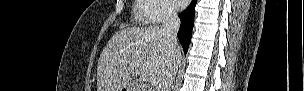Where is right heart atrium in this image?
I'll list each match as a JSON object with an SVG mask.
<instances>
[{
  "instance_id": "right-heart-atrium-1",
  "label": "right heart atrium",
  "mask_w": 304,
  "mask_h": 91,
  "mask_svg": "<svg viewBox=\"0 0 304 91\" xmlns=\"http://www.w3.org/2000/svg\"><path fill=\"white\" fill-rule=\"evenodd\" d=\"M142 18L151 23H160L176 15V10L167 0H142Z\"/></svg>"
}]
</instances>
